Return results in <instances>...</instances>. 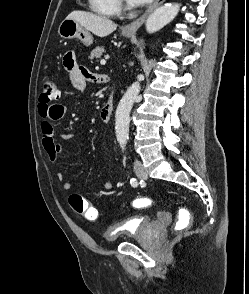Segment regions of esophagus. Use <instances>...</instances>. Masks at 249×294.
I'll return each instance as SVG.
<instances>
[{"label":"esophagus","mask_w":249,"mask_h":294,"mask_svg":"<svg viewBox=\"0 0 249 294\" xmlns=\"http://www.w3.org/2000/svg\"><path fill=\"white\" fill-rule=\"evenodd\" d=\"M165 0H156L147 10L146 12L137 20L125 25L122 28V31L127 34H135L136 31L141 27V25L145 22L147 17L161 4H163Z\"/></svg>","instance_id":"obj_1"}]
</instances>
